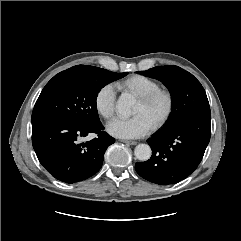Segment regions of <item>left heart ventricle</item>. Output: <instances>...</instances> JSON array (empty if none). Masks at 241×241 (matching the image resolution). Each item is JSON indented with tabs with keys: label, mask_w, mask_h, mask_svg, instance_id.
Instances as JSON below:
<instances>
[{
	"label": "left heart ventricle",
	"mask_w": 241,
	"mask_h": 241,
	"mask_svg": "<svg viewBox=\"0 0 241 241\" xmlns=\"http://www.w3.org/2000/svg\"><path fill=\"white\" fill-rule=\"evenodd\" d=\"M163 110V100H158L150 106H144L141 102L137 101L136 107L134 109V114H144L153 125V123L160 116Z\"/></svg>",
	"instance_id": "left-heart-ventricle-1"
}]
</instances>
